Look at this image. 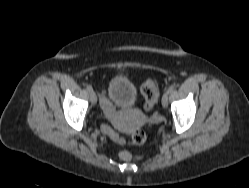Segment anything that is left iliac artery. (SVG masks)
<instances>
[{
	"instance_id": "1",
	"label": "left iliac artery",
	"mask_w": 249,
	"mask_h": 188,
	"mask_svg": "<svg viewBox=\"0 0 249 188\" xmlns=\"http://www.w3.org/2000/svg\"><path fill=\"white\" fill-rule=\"evenodd\" d=\"M173 91H174V86L172 85V86H170V87L168 88L167 93L170 94V93H172Z\"/></svg>"
}]
</instances>
